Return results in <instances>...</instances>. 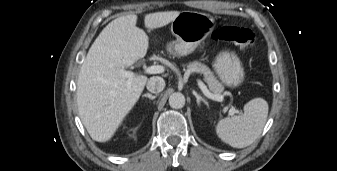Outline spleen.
<instances>
[{
  "mask_svg": "<svg viewBox=\"0 0 337 171\" xmlns=\"http://www.w3.org/2000/svg\"><path fill=\"white\" fill-rule=\"evenodd\" d=\"M269 106L266 100L254 98L244 105V113L220 120L216 125L217 136L233 148L251 145L262 133Z\"/></svg>",
  "mask_w": 337,
  "mask_h": 171,
  "instance_id": "obj_1",
  "label": "spleen"
}]
</instances>
